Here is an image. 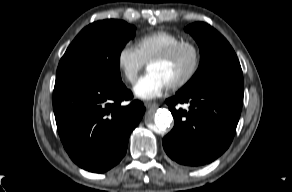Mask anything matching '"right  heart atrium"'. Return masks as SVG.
Returning <instances> with one entry per match:
<instances>
[{"label": "right heart atrium", "instance_id": "obj_1", "mask_svg": "<svg viewBox=\"0 0 292 192\" xmlns=\"http://www.w3.org/2000/svg\"><path fill=\"white\" fill-rule=\"evenodd\" d=\"M117 67L124 79L133 84L144 67V60L136 47L124 44L118 51L116 57Z\"/></svg>", "mask_w": 292, "mask_h": 192}]
</instances>
